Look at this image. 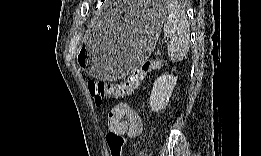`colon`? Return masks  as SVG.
I'll use <instances>...</instances> for the list:
<instances>
[{"label": "colon", "mask_w": 261, "mask_h": 156, "mask_svg": "<svg viewBox=\"0 0 261 156\" xmlns=\"http://www.w3.org/2000/svg\"><path fill=\"white\" fill-rule=\"evenodd\" d=\"M160 66L157 60H146L137 66L122 82L108 83L99 80L88 82L89 91L96 105H101L102 100L108 96L122 97L132 94L139 86L145 75L157 70ZM128 140L121 135L109 132L106 135V144L110 156H121ZM143 154V153H141Z\"/></svg>", "instance_id": "obj_1"}]
</instances>
